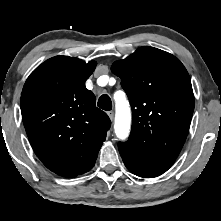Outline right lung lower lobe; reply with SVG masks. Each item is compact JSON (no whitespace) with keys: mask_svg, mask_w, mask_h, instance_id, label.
Masks as SVG:
<instances>
[{"mask_svg":"<svg viewBox=\"0 0 221 221\" xmlns=\"http://www.w3.org/2000/svg\"><path fill=\"white\" fill-rule=\"evenodd\" d=\"M94 164H95V163H94ZM94 164H93V166H94ZM93 166H92V167H93ZM92 167H91V168H92ZM91 168H90V169H91ZM90 169H89V170H90ZM89 170H88V171H89Z\"/></svg>","mask_w":221,"mask_h":221,"instance_id":"right-lung-lower-lobe-1","label":"right lung lower lobe"}]
</instances>
